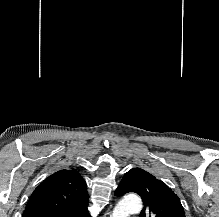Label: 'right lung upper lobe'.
Listing matches in <instances>:
<instances>
[{
    "label": "right lung upper lobe",
    "mask_w": 219,
    "mask_h": 217,
    "mask_svg": "<svg viewBox=\"0 0 219 217\" xmlns=\"http://www.w3.org/2000/svg\"><path fill=\"white\" fill-rule=\"evenodd\" d=\"M86 183L74 169L47 177L32 193L22 217H90Z\"/></svg>",
    "instance_id": "cb5924a9"
}]
</instances>
